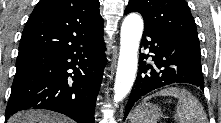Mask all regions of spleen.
Wrapping results in <instances>:
<instances>
[{"label":"spleen","instance_id":"obj_1","mask_svg":"<svg viewBox=\"0 0 221 123\" xmlns=\"http://www.w3.org/2000/svg\"><path fill=\"white\" fill-rule=\"evenodd\" d=\"M154 96H173L178 99L174 115L177 123H208L203 106L189 91L177 87H169L146 97L143 101L145 102Z\"/></svg>","mask_w":221,"mask_h":123}]
</instances>
